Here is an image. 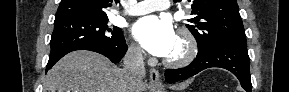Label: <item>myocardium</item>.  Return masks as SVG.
<instances>
[{
	"mask_svg": "<svg viewBox=\"0 0 289 92\" xmlns=\"http://www.w3.org/2000/svg\"><path fill=\"white\" fill-rule=\"evenodd\" d=\"M177 38L184 46L183 53L178 57L165 58L164 64L168 67L179 68L191 63L197 55L198 44L193 34L186 28L178 30Z\"/></svg>",
	"mask_w": 289,
	"mask_h": 92,
	"instance_id": "obj_1",
	"label": "myocardium"
}]
</instances>
